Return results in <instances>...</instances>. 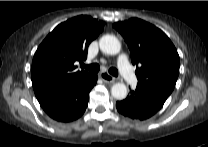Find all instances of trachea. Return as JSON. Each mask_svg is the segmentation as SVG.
<instances>
[{
	"instance_id": "obj_1",
	"label": "trachea",
	"mask_w": 208,
	"mask_h": 147,
	"mask_svg": "<svg viewBox=\"0 0 208 147\" xmlns=\"http://www.w3.org/2000/svg\"><path fill=\"white\" fill-rule=\"evenodd\" d=\"M82 68L88 69L90 73H97L100 70V66L97 63H93L90 65H81ZM109 73L113 76H118V70L116 68H110Z\"/></svg>"
}]
</instances>
